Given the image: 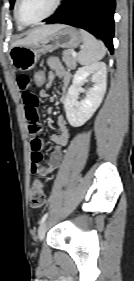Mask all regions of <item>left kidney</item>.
I'll return each instance as SVG.
<instances>
[{
  "label": "left kidney",
  "mask_w": 134,
  "mask_h": 281,
  "mask_svg": "<svg viewBox=\"0 0 134 281\" xmlns=\"http://www.w3.org/2000/svg\"><path fill=\"white\" fill-rule=\"evenodd\" d=\"M89 76H91L93 86L88 88L85 99L78 101L79 91ZM106 78L107 71L104 62L86 65L76 71L64 100L66 117L71 126L80 127L93 116L105 95Z\"/></svg>",
  "instance_id": "obj_1"
}]
</instances>
